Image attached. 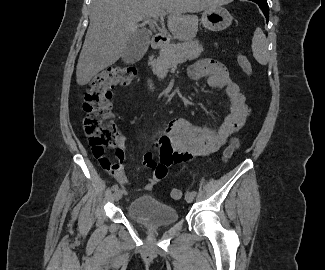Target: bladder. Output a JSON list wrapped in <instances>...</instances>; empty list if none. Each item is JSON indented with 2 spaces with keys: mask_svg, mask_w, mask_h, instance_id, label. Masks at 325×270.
I'll list each match as a JSON object with an SVG mask.
<instances>
[{
  "mask_svg": "<svg viewBox=\"0 0 325 270\" xmlns=\"http://www.w3.org/2000/svg\"><path fill=\"white\" fill-rule=\"evenodd\" d=\"M128 217L148 227H162L179 220L178 211L171 205L151 195L135 198L126 208Z\"/></svg>",
  "mask_w": 325,
  "mask_h": 270,
  "instance_id": "31cf9c89",
  "label": "bladder"
}]
</instances>
